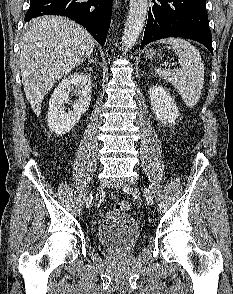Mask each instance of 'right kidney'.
I'll return each mask as SVG.
<instances>
[{"label": "right kidney", "mask_w": 233, "mask_h": 294, "mask_svg": "<svg viewBox=\"0 0 233 294\" xmlns=\"http://www.w3.org/2000/svg\"><path fill=\"white\" fill-rule=\"evenodd\" d=\"M75 91L79 99L72 102L73 109L65 111L70 101L69 94ZM91 101V77L86 73H73L64 78L55 88L47 113L48 127L57 135L69 132L89 108Z\"/></svg>", "instance_id": "obj_1"}]
</instances>
